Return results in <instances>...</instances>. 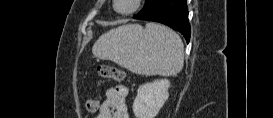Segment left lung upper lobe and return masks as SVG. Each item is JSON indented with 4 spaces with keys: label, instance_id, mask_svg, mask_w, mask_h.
Instances as JSON below:
<instances>
[{
    "label": "left lung upper lobe",
    "instance_id": "obj_1",
    "mask_svg": "<svg viewBox=\"0 0 273 118\" xmlns=\"http://www.w3.org/2000/svg\"><path fill=\"white\" fill-rule=\"evenodd\" d=\"M164 0H145L143 9L134 16L136 19H141L149 13L155 11Z\"/></svg>",
    "mask_w": 273,
    "mask_h": 118
}]
</instances>
